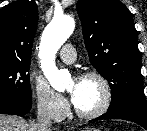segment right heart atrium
Returning <instances> with one entry per match:
<instances>
[{
    "label": "right heart atrium",
    "instance_id": "obj_1",
    "mask_svg": "<svg viewBox=\"0 0 147 131\" xmlns=\"http://www.w3.org/2000/svg\"><path fill=\"white\" fill-rule=\"evenodd\" d=\"M31 89L38 111L52 119H60L67 112L66 100L54 91L43 79L34 77Z\"/></svg>",
    "mask_w": 147,
    "mask_h": 131
}]
</instances>
